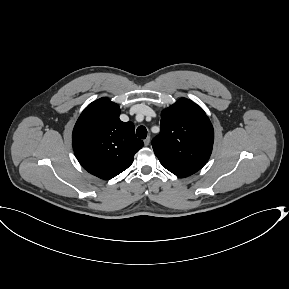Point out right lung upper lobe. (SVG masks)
<instances>
[{
    "label": "right lung upper lobe",
    "instance_id": "1",
    "mask_svg": "<svg viewBox=\"0 0 289 289\" xmlns=\"http://www.w3.org/2000/svg\"><path fill=\"white\" fill-rule=\"evenodd\" d=\"M120 108L108 98L92 102L78 118L72 134L74 153L89 173L111 179L133 162L143 147L132 122L119 119Z\"/></svg>",
    "mask_w": 289,
    "mask_h": 289
}]
</instances>
